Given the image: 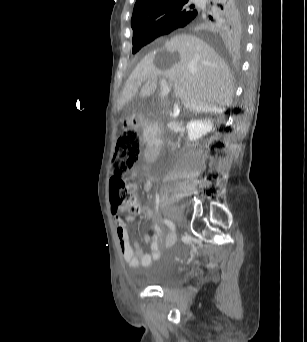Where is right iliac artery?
<instances>
[{
	"label": "right iliac artery",
	"mask_w": 307,
	"mask_h": 342,
	"mask_svg": "<svg viewBox=\"0 0 307 342\" xmlns=\"http://www.w3.org/2000/svg\"><path fill=\"white\" fill-rule=\"evenodd\" d=\"M163 222L170 228L171 231L175 230V226L170 220L164 219Z\"/></svg>",
	"instance_id": "82829eb1"
}]
</instances>
